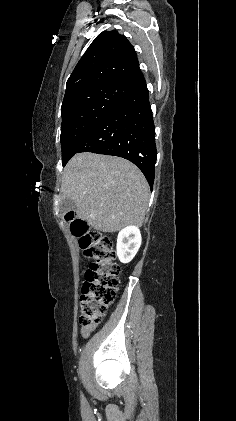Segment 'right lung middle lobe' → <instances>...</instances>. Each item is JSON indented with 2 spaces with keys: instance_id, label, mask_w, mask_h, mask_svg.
Here are the masks:
<instances>
[{
  "instance_id": "1",
  "label": "right lung middle lobe",
  "mask_w": 236,
  "mask_h": 421,
  "mask_svg": "<svg viewBox=\"0 0 236 421\" xmlns=\"http://www.w3.org/2000/svg\"><path fill=\"white\" fill-rule=\"evenodd\" d=\"M119 85L83 91L64 100L61 107L62 164L73 156L80 139L125 96Z\"/></svg>"
}]
</instances>
